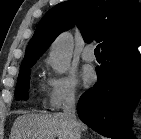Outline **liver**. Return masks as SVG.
Here are the masks:
<instances>
[{"instance_id":"liver-1","label":"liver","mask_w":141,"mask_h":139,"mask_svg":"<svg viewBox=\"0 0 141 139\" xmlns=\"http://www.w3.org/2000/svg\"><path fill=\"white\" fill-rule=\"evenodd\" d=\"M80 132L87 126L79 121ZM69 121L61 112L54 114H23L15 120L10 139H72Z\"/></svg>"}]
</instances>
